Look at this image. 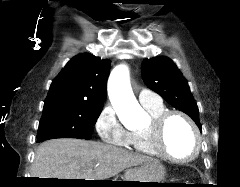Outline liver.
<instances>
[{
    "label": "liver",
    "mask_w": 240,
    "mask_h": 187,
    "mask_svg": "<svg viewBox=\"0 0 240 187\" xmlns=\"http://www.w3.org/2000/svg\"><path fill=\"white\" fill-rule=\"evenodd\" d=\"M148 162L157 161L101 142L58 138L38 146L31 177L106 180Z\"/></svg>",
    "instance_id": "1"
}]
</instances>
